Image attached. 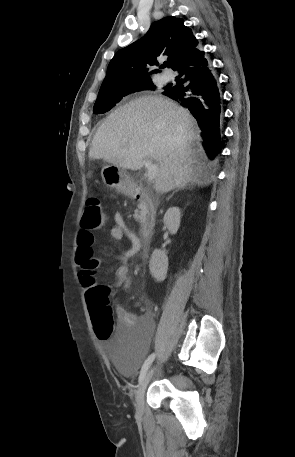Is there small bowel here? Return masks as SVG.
Listing matches in <instances>:
<instances>
[{
    "instance_id": "1",
    "label": "small bowel",
    "mask_w": 295,
    "mask_h": 457,
    "mask_svg": "<svg viewBox=\"0 0 295 457\" xmlns=\"http://www.w3.org/2000/svg\"><path fill=\"white\" fill-rule=\"evenodd\" d=\"M114 221V225H112L109 229L110 237L116 241H122L126 238L129 240L130 246L119 256L121 265L115 272V281L98 283L94 279L95 284L101 285L111 292H116L120 289L128 290L130 288L132 280L129 274L127 262L130 258L134 257L142 250L140 238L128 228L120 213H115ZM94 242V233L91 230L82 228L77 237L76 258L79 256L87 257V259L93 264L94 269H96L100 266L101 261L93 257ZM84 287L88 288L86 285H84ZM116 314L118 320L117 338H125L134 332L150 333L154 328L153 313L149 309L148 305H146L145 312L142 315H136L127 311L119 302H117Z\"/></svg>"
}]
</instances>
